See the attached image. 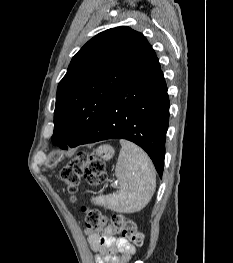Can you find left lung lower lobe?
Listing matches in <instances>:
<instances>
[{
    "mask_svg": "<svg viewBox=\"0 0 233 263\" xmlns=\"http://www.w3.org/2000/svg\"><path fill=\"white\" fill-rule=\"evenodd\" d=\"M169 98L163 72L150 47L82 142L52 137L62 149L105 139H127L142 147L162 176Z\"/></svg>",
    "mask_w": 233,
    "mask_h": 263,
    "instance_id": "0a47b994",
    "label": "left lung lower lobe"
}]
</instances>
